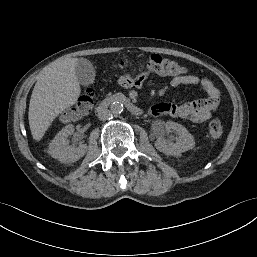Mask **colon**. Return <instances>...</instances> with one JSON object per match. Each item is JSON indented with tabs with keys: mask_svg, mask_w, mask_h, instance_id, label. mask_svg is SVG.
<instances>
[{
	"mask_svg": "<svg viewBox=\"0 0 257 257\" xmlns=\"http://www.w3.org/2000/svg\"><path fill=\"white\" fill-rule=\"evenodd\" d=\"M143 64H152L157 69V75L160 76H175L184 72L183 66L178 62L170 59L163 58L160 55H152L146 61L136 64L132 60H121L117 63V69L129 68L130 66H142ZM93 93L90 89H86L84 93L79 97L76 104L64 112V116L67 120H74L85 113L91 108ZM224 132L223 124L218 119H213L207 126V137L209 140L219 139Z\"/></svg>",
	"mask_w": 257,
	"mask_h": 257,
	"instance_id": "1",
	"label": "colon"
}]
</instances>
